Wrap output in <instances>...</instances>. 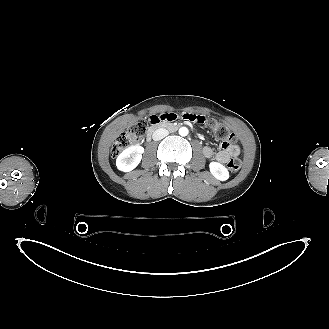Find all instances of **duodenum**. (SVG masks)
Wrapping results in <instances>:
<instances>
[{
    "instance_id": "410a0bca",
    "label": "duodenum",
    "mask_w": 329,
    "mask_h": 329,
    "mask_svg": "<svg viewBox=\"0 0 329 329\" xmlns=\"http://www.w3.org/2000/svg\"><path fill=\"white\" fill-rule=\"evenodd\" d=\"M158 128H168L171 130H176L178 126L175 123L167 122L166 120L164 122H161L157 116H152L150 119V127L146 133L145 139L147 142H149L152 138L153 133Z\"/></svg>"
}]
</instances>
